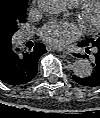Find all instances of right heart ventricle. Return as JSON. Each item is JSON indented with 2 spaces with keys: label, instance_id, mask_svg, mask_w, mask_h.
<instances>
[{
  "label": "right heart ventricle",
  "instance_id": "e07e8e85",
  "mask_svg": "<svg viewBox=\"0 0 100 118\" xmlns=\"http://www.w3.org/2000/svg\"><path fill=\"white\" fill-rule=\"evenodd\" d=\"M69 5L76 6L78 5L82 0H65Z\"/></svg>",
  "mask_w": 100,
  "mask_h": 118
}]
</instances>
